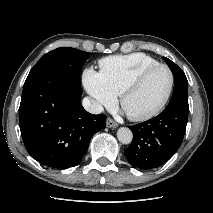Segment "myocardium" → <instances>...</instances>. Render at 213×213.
<instances>
[{
    "instance_id": "f54148a6",
    "label": "myocardium",
    "mask_w": 213,
    "mask_h": 213,
    "mask_svg": "<svg viewBox=\"0 0 213 213\" xmlns=\"http://www.w3.org/2000/svg\"><path fill=\"white\" fill-rule=\"evenodd\" d=\"M165 69L168 74H169V85L167 88V91L164 95V97L161 99V101L152 109L142 113V114H137V115H133V114H128L127 116L133 120V121H145L148 120L152 117H154L156 114H158L163 108L164 106L167 104L171 93L173 91V87H174V74L172 72V70L170 69V67H168L165 64H156L150 67H147L143 70H141L137 75H135L121 90V92L119 93V103L121 105V107L123 108V103L126 99V97L134 90L136 89L139 84L143 81V79L152 71L156 70V69Z\"/></svg>"
}]
</instances>
